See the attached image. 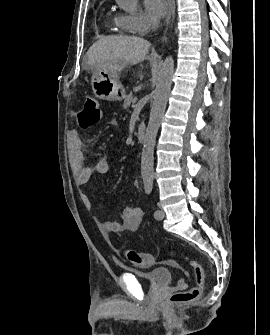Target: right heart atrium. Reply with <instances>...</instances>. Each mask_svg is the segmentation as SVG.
<instances>
[{
  "label": "right heart atrium",
  "mask_w": 270,
  "mask_h": 335,
  "mask_svg": "<svg viewBox=\"0 0 270 335\" xmlns=\"http://www.w3.org/2000/svg\"><path fill=\"white\" fill-rule=\"evenodd\" d=\"M123 17L128 25L129 31L133 33L146 35L151 30V22L142 12L132 15H123Z\"/></svg>",
  "instance_id": "right-heart-atrium-1"
}]
</instances>
